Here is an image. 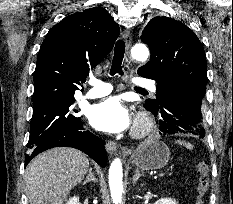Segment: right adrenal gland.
I'll return each mask as SVG.
<instances>
[{"mask_svg": "<svg viewBox=\"0 0 233 204\" xmlns=\"http://www.w3.org/2000/svg\"><path fill=\"white\" fill-rule=\"evenodd\" d=\"M90 181L97 183V179L93 174L92 168L89 169V174L86 177L85 181L83 182V185H85L86 183H89Z\"/></svg>", "mask_w": 233, "mask_h": 204, "instance_id": "right-adrenal-gland-1", "label": "right adrenal gland"}]
</instances>
